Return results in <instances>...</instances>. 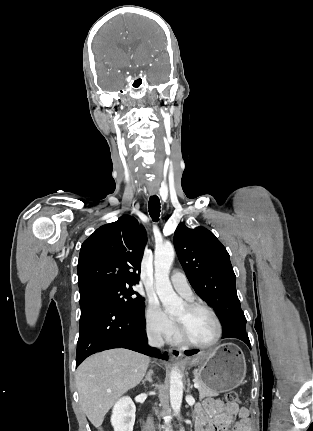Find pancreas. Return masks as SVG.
<instances>
[{"label":"pancreas","mask_w":313,"mask_h":431,"mask_svg":"<svg viewBox=\"0 0 313 431\" xmlns=\"http://www.w3.org/2000/svg\"><path fill=\"white\" fill-rule=\"evenodd\" d=\"M194 375H195V382L199 383V385H200L198 388V391H199V397L201 399H203L205 397H213V396L219 395L218 392L213 391V390L207 388L205 385H203L202 382L200 381V379L197 377L196 372H194Z\"/></svg>","instance_id":"obj_1"}]
</instances>
